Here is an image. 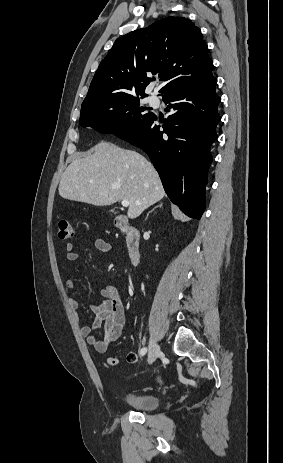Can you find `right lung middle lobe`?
Listing matches in <instances>:
<instances>
[{"label": "right lung middle lobe", "mask_w": 283, "mask_h": 463, "mask_svg": "<svg viewBox=\"0 0 283 463\" xmlns=\"http://www.w3.org/2000/svg\"><path fill=\"white\" fill-rule=\"evenodd\" d=\"M145 110L140 107L138 96H110L82 105L79 123L120 136L137 130L152 117Z\"/></svg>", "instance_id": "right-lung-middle-lobe-1"}]
</instances>
